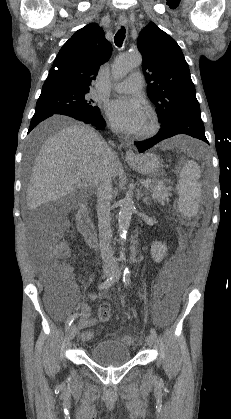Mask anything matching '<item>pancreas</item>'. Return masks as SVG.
<instances>
[{"label": "pancreas", "mask_w": 231, "mask_h": 419, "mask_svg": "<svg viewBox=\"0 0 231 419\" xmlns=\"http://www.w3.org/2000/svg\"><path fill=\"white\" fill-rule=\"evenodd\" d=\"M157 187V186H154ZM170 192L166 188H156L152 190V199L155 202H159L160 204H165V202H169Z\"/></svg>", "instance_id": "1"}]
</instances>
